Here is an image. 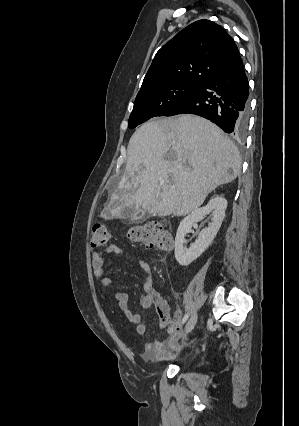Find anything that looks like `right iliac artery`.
<instances>
[{"label":"right iliac artery","instance_id":"right-iliac-artery-1","mask_svg":"<svg viewBox=\"0 0 299 426\" xmlns=\"http://www.w3.org/2000/svg\"><path fill=\"white\" fill-rule=\"evenodd\" d=\"M188 317H189V313H186L185 315H184V317H183V319H182V324H184L186 321H187V319H188Z\"/></svg>","mask_w":299,"mask_h":426}]
</instances>
